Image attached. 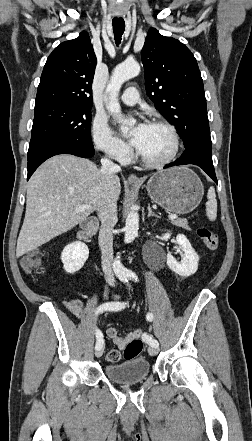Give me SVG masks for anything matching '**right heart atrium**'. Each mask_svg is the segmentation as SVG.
I'll return each instance as SVG.
<instances>
[{
    "mask_svg": "<svg viewBox=\"0 0 252 441\" xmlns=\"http://www.w3.org/2000/svg\"><path fill=\"white\" fill-rule=\"evenodd\" d=\"M91 135L95 148L103 155L120 163L131 158V149L109 126L106 118L95 116L92 121Z\"/></svg>",
    "mask_w": 252,
    "mask_h": 441,
    "instance_id": "d8ad5b80",
    "label": "right heart atrium"
}]
</instances>
